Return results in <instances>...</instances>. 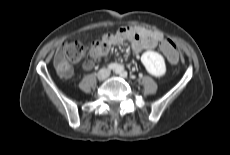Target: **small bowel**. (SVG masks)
<instances>
[{
  "label": "small bowel",
  "mask_w": 230,
  "mask_h": 155,
  "mask_svg": "<svg viewBox=\"0 0 230 155\" xmlns=\"http://www.w3.org/2000/svg\"><path fill=\"white\" fill-rule=\"evenodd\" d=\"M159 40H165L161 31L147 29L142 26L121 27L116 32L105 34L102 37V41L107 44L108 49L111 46L128 41L136 54L142 52L143 50L156 48ZM108 49L107 52L99 58V60H104L108 56Z\"/></svg>",
  "instance_id": "obj_1"
}]
</instances>
